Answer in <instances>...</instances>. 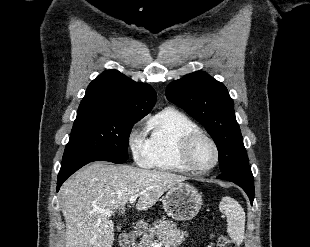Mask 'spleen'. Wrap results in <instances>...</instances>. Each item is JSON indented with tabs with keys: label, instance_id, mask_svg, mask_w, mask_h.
<instances>
[{
	"label": "spleen",
	"instance_id": "spleen-1",
	"mask_svg": "<svg viewBox=\"0 0 310 247\" xmlns=\"http://www.w3.org/2000/svg\"><path fill=\"white\" fill-rule=\"evenodd\" d=\"M219 209L227 217V232L236 244H242L245 231V212L242 206L231 197H223Z\"/></svg>",
	"mask_w": 310,
	"mask_h": 247
}]
</instances>
